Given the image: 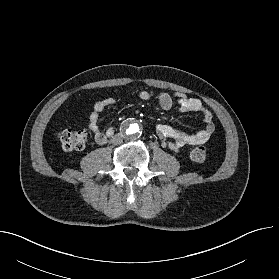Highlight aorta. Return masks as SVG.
I'll return each instance as SVG.
<instances>
[{"label": "aorta", "instance_id": "aorta-1", "mask_svg": "<svg viewBox=\"0 0 279 279\" xmlns=\"http://www.w3.org/2000/svg\"><path fill=\"white\" fill-rule=\"evenodd\" d=\"M124 133L129 137H135L141 132V125L135 120H128L123 125Z\"/></svg>", "mask_w": 279, "mask_h": 279}]
</instances>
